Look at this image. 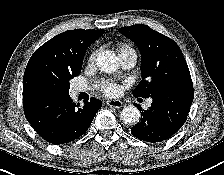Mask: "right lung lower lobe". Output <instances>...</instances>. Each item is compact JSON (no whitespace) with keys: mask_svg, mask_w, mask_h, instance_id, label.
<instances>
[{"mask_svg":"<svg viewBox=\"0 0 224 175\" xmlns=\"http://www.w3.org/2000/svg\"><path fill=\"white\" fill-rule=\"evenodd\" d=\"M25 117L49 143L74 141L89 128L102 102L92 98L81 106L67 92H36L23 96Z\"/></svg>","mask_w":224,"mask_h":175,"instance_id":"right-lung-lower-lobe-1","label":"right lung lower lobe"}]
</instances>
